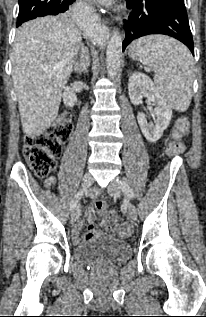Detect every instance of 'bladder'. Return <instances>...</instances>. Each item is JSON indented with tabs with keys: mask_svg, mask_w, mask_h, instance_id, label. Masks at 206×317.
Instances as JSON below:
<instances>
[{
	"mask_svg": "<svg viewBox=\"0 0 206 317\" xmlns=\"http://www.w3.org/2000/svg\"><path fill=\"white\" fill-rule=\"evenodd\" d=\"M73 255L83 264H115L129 258L131 246L128 241L119 238L100 237L77 246Z\"/></svg>",
	"mask_w": 206,
	"mask_h": 317,
	"instance_id": "bladder-1",
	"label": "bladder"
}]
</instances>
